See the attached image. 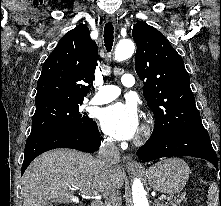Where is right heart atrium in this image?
<instances>
[{
  "mask_svg": "<svg viewBox=\"0 0 221 206\" xmlns=\"http://www.w3.org/2000/svg\"><path fill=\"white\" fill-rule=\"evenodd\" d=\"M104 141H105L106 143H110V142H111V138L108 137V136H105V137H104Z\"/></svg>",
  "mask_w": 221,
  "mask_h": 206,
  "instance_id": "obj_1",
  "label": "right heart atrium"
}]
</instances>
